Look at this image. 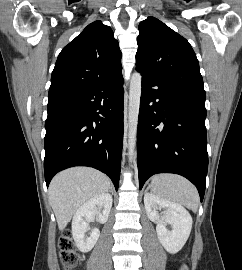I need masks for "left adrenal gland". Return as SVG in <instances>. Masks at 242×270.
Segmentation results:
<instances>
[{
  "label": "left adrenal gland",
  "mask_w": 242,
  "mask_h": 270,
  "mask_svg": "<svg viewBox=\"0 0 242 270\" xmlns=\"http://www.w3.org/2000/svg\"><path fill=\"white\" fill-rule=\"evenodd\" d=\"M149 188H150V187H148V188L146 189L145 193H147V191L149 190Z\"/></svg>",
  "instance_id": "left-adrenal-gland-1"
}]
</instances>
